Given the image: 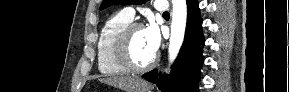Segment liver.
Returning a JSON list of instances; mask_svg holds the SVG:
<instances>
[{"instance_id":"liver-1","label":"liver","mask_w":289,"mask_h":92,"mask_svg":"<svg viewBox=\"0 0 289 92\" xmlns=\"http://www.w3.org/2000/svg\"><path fill=\"white\" fill-rule=\"evenodd\" d=\"M99 81L118 87L125 92H143L151 90V86L146 81L135 77H109L101 78Z\"/></svg>"}]
</instances>
